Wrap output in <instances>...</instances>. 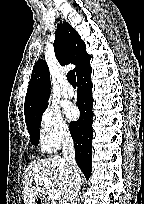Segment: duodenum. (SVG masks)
Returning a JSON list of instances; mask_svg holds the SVG:
<instances>
[{"instance_id":"obj_1","label":"duodenum","mask_w":144,"mask_h":204,"mask_svg":"<svg viewBox=\"0 0 144 204\" xmlns=\"http://www.w3.org/2000/svg\"><path fill=\"white\" fill-rule=\"evenodd\" d=\"M36 204H45L41 199H38L37 201H36Z\"/></svg>"}]
</instances>
